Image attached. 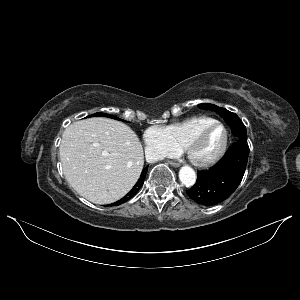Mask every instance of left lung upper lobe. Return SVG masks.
<instances>
[{
	"label": "left lung upper lobe",
	"instance_id": "obj_1",
	"mask_svg": "<svg viewBox=\"0 0 300 300\" xmlns=\"http://www.w3.org/2000/svg\"><path fill=\"white\" fill-rule=\"evenodd\" d=\"M198 106L201 109H209V110L215 111L230 126L232 133L235 136L236 141L241 140V141L247 142L246 127L235 113H232L225 108H220L214 104L204 103V104H200Z\"/></svg>",
	"mask_w": 300,
	"mask_h": 300
}]
</instances>
